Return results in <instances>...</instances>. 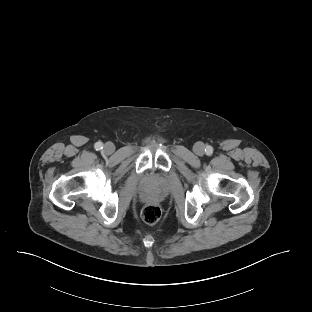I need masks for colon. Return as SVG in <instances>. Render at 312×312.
Here are the masks:
<instances>
[{
    "mask_svg": "<svg viewBox=\"0 0 312 312\" xmlns=\"http://www.w3.org/2000/svg\"><path fill=\"white\" fill-rule=\"evenodd\" d=\"M161 208L158 204H147L142 210V219L149 225H155L161 218Z\"/></svg>",
    "mask_w": 312,
    "mask_h": 312,
    "instance_id": "obj_1",
    "label": "colon"
}]
</instances>
